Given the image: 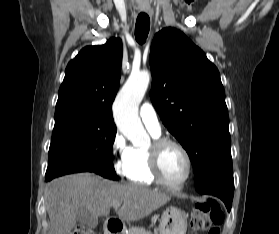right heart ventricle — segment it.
<instances>
[{
  "label": "right heart ventricle",
  "mask_w": 279,
  "mask_h": 234,
  "mask_svg": "<svg viewBox=\"0 0 279 234\" xmlns=\"http://www.w3.org/2000/svg\"><path fill=\"white\" fill-rule=\"evenodd\" d=\"M155 138L159 135L152 134ZM135 184L152 185L157 181L150 168V150L148 147H130L129 155L124 164V174Z\"/></svg>",
  "instance_id": "e07e8e85"
}]
</instances>
